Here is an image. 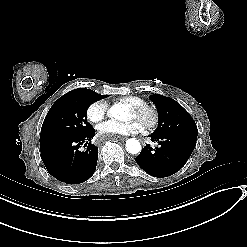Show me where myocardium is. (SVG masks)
<instances>
[{"label":"myocardium","instance_id":"myocardium-1","mask_svg":"<svg viewBox=\"0 0 247 247\" xmlns=\"http://www.w3.org/2000/svg\"><path fill=\"white\" fill-rule=\"evenodd\" d=\"M132 111L141 116L143 113L148 112L150 115V122L147 127L143 129L144 134H152L156 131L159 124V111L156 106L150 104H142L138 107H130Z\"/></svg>","mask_w":247,"mask_h":247}]
</instances>
